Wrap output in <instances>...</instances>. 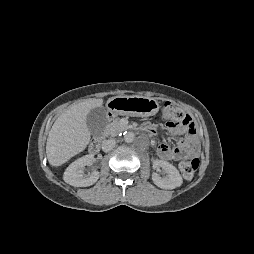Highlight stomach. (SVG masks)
<instances>
[{
	"label": "stomach",
	"instance_id": "stomach-1",
	"mask_svg": "<svg viewBox=\"0 0 254 254\" xmlns=\"http://www.w3.org/2000/svg\"><path fill=\"white\" fill-rule=\"evenodd\" d=\"M159 102L154 98L140 96H116L107 101L112 117L117 115L148 117L159 111Z\"/></svg>",
	"mask_w": 254,
	"mask_h": 254
}]
</instances>
